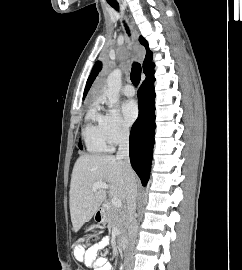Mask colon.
<instances>
[{
  "instance_id": "5ec220e1",
  "label": "colon",
  "mask_w": 242,
  "mask_h": 270,
  "mask_svg": "<svg viewBox=\"0 0 242 270\" xmlns=\"http://www.w3.org/2000/svg\"><path fill=\"white\" fill-rule=\"evenodd\" d=\"M98 238V233L95 231H89L88 233V239L91 241H94ZM78 270H85L84 268H79Z\"/></svg>"
}]
</instances>
